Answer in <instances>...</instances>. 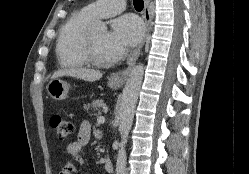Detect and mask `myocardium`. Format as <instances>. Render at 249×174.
I'll list each match as a JSON object with an SVG mask.
<instances>
[{
  "instance_id": "f54148a6",
  "label": "myocardium",
  "mask_w": 249,
  "mask_h": 174,
  "mask_svg": "<svg viewBox=\"0 0 249 174\" xmlns=\"http://www.w3.org/2000/svg\"><path fill=\"white\" fill-rule=\"evenodd\" d=\"M84 52L87 57V60L93 65L98 67H106L110 65L109 62L102 61L95 54L91 33L87 34L84 45Z\"/></svg>"
}]
</instances>
